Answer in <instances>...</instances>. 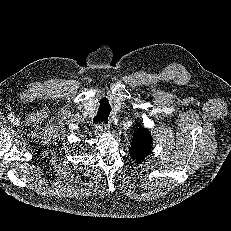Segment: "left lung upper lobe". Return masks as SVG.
<instances>
[{"label":"left lung upper lobe","mask_w":231,"mask_h":231,"mask_svg":"<svg viewBox=\"0 0 231 231\" xmlns=\"http://www.w3.org/2000/svg\"><path fill=\"white\" fill-rule=\"evenodd\" d=\"M151 149L150 132L140 127L134 134L130 154L139 163L150 153Z\"/></svg>","instance_id":"left-lung-upper-lobe-1"}]
</instances>
